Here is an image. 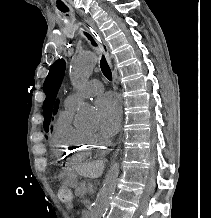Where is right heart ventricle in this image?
<instances>
[{
  "label": "right heart ventricle",
  "instance_id": "obj_1",
  "mask_svg": "<svg viewBox=\"0 0 211 218\" xmlns=\"http://www.w3.org/2000/svg\"><path fill=\"white\" fill-rule=\"evenodd\" d=\"M73 109L65 108L55 121L54 139L59 144H52V149L55 157H59L56 165H78V161L105 152L103 140L94 139L72 126Z\"/></svg>",
  "mask_w": 211,
  "mask_h": 218
}]
</instances>
